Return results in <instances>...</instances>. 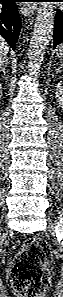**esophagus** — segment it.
<instances>
[{
  "instance_id": "34e87169",
  "label": "esophagus",
  "mask_w": 63,
  "mask_h": 297,
  "mask_svg": "<svg viewBox=\"0 0 63 297\" xmlns=\"http://www.w3.org/2000/svg\"><path fill=\"white\" fill-rule=\"evenodd\" d=\"M36 8H37L36 4H23L20 7V12L24 16H31L32 14H34Z\"/></svg>"
}]
</instances>
